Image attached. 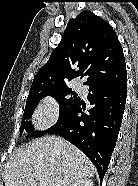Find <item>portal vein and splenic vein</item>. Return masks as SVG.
<instances>
[{
	"label": "portal vein and splenic vein",
	"instance_id": "1",
	"mask_svg": "<svg viewBox=\"0 0 138 186\" xmlns=\"http://www.w3.org/2000/svg\"><path fill=\"white\" fill-rule=\"evenodd\" d=\"M39 183H40V186H47V184L43 181H40Z\"/></svg>",
	"mask_w": 138,
	"mask_h": 186
}]
</instances>
